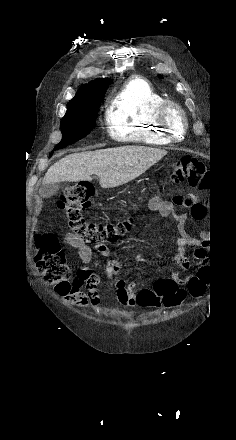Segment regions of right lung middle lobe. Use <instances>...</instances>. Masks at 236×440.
<instances>
[{"instance_id":"obj_1","label":"right lung middle lobe","mask_w":236,"mask_h":440,"mask_svg":"<svg viewBox=\"0 0 236 440\" xmlns=\"http://www.w3.org/2000/svg\"><path fill=\"white\" fill-rule=\"evenodd\" d=\"M104 95L69 102L60 126L62 141L54 150L64 148L88 135L95 126L97 109Z\"/></svg>"}]
</instances>
